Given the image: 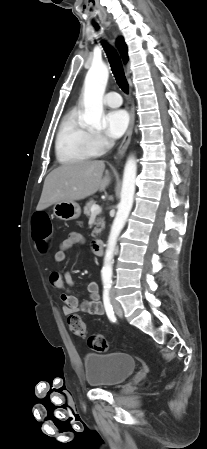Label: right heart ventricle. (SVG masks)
<instances>
[{
	"mask_svg": "<svg viewBox=\"0 0 207 449\" xmlns=\"http://www.w3.org/2000/svg\"><path fill=\"white\" fill-rule=\"evenodd\" d=\"M90 135L91 133L81 125L76 110L67 113L56 135L57 160L61 164H71L94 157L96 152L91 144Z\"/></svg>",
	"mask_w": 207,
	"mask_h": 449,
	"instance_id": "e07e8e85",
	"label": "right heart ventricle"
}]
</instances>
